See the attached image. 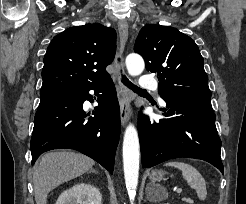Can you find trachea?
I'll return each mask as SVG.
<instances>
[{
	"instance_id": "1",
	"label": "trachea",
	"mask_w": 246,
	"mask_h": 204,
	"mask_svg": "<svg viewBox=\"0 0 246 204\" xmlns=\"http://www.w3.org/2000/svg\"><path fill=\"white\" fill-rule=\"evenodd\" d=\"M122 83L138 94L147 93L146 90L137 87L132 82H130L129 79L125 76L122 77Z\"/></svg>"
}]
</instances>
